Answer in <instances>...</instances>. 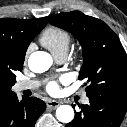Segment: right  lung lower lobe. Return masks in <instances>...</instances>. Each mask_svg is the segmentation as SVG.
<instances>
[{
  "label": "right lung lower lobe",
  "mask_w": 127,
  "mask_h": 127,
  "mask_svg": "<svg viewBox=\"0 0 127 127\" xmlns=\"http://www.w3.org/2000/svg\"><path fill=\"white\" fill-rule=\"evenodd\" d=\"M45 109V102L38 98L23 97L19 101L14 94L0 103V127H34Z\"/></svg>",
  "instance_id": "obj_1"
}]
</instances>
